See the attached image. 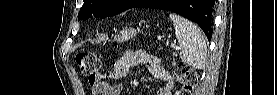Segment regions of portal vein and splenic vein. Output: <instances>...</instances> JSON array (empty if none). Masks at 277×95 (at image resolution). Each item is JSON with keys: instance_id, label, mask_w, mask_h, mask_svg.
I'll list each match as a JSON object with an SVG mask.
<instances>
[{"instance_id": "portal-vein-and-splenic-vein-1", "label": "portal vein and splenic vein", "mask_w": 277, "mask_h": 95, "mask_svg": "<svg viewBox=\"0 0 277 95\" xmlns=\"http://www.w3.org/2000/svg\"><path fill=\"white\" fill-rule=\"evenodd\" d=\"M166 45H169V42H167ZM171 47H172V48H175V49H179V48H180L179 46H177V45H175V44H171Z\"/></svg>"}]
</instances>
